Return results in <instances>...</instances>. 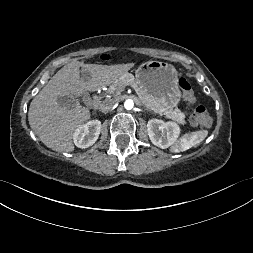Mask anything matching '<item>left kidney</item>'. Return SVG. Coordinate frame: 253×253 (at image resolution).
<instances>
[{
	"label": "left kidney",
	"instance_id": "obj_1",
	"mask_svg": "<svg viewBox=\"0 0 253 253\" xmlns=\"http://www.w3.org/2000/svg\"><path fill=\"white\" fill-rule=\"evenodd\" d=\"M148 136L151 142L162 149L173 145L179 134L180 128L175 122H164L159 119H151L147 123Z\"/></svg>",
	"mask_w": 253,
	"mask_h": 253
}]
</instances>
